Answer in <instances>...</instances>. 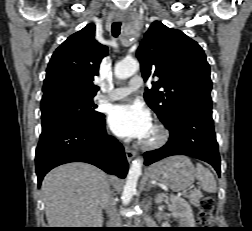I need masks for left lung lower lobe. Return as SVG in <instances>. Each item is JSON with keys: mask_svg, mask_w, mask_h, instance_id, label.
I'll return each mask as SVG.
<instances>
[{"mask_svg": "<svg viewBox=\"0 0 252 231\" xmlns=\"http://www.w3.org/2000/svg\"><path fill=\"white\" fill-rule=\"evenodd\" d=\"M168 142L145 153V165L172 155H187L211 164L220 175V156L213 127L211 108L188 105L175 111L165 123Z\"/></svg>", "mask_w": 252, "mask_h": 231, "instance_id": "1", "label": "left lung lower lobe"}]
</instances>
